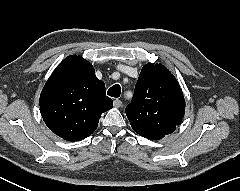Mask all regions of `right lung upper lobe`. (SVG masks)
Segmentation results:
<instances>
[{"instance_id":"1","label":"right lung upper lobe","mask_w":240,"mask_h":191,"mask_svg":"<svg viewBox=\"0 0 240 191\" xmlns=\"http://www.w3.org/2000/svg\"><path fill=\"white\" fill-rule=\"evenodd\" d=\"M112 107L104 82L95 76L91 63L77 55L66 57L56 67L40 95L44 122L68 141L90 136L101 114Z\"/></svg>"}]
</instances>
